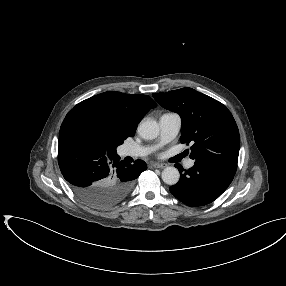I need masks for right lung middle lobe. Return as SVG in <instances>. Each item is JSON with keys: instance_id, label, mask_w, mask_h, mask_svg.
<instances>
[{"instance_id": "1", "label": "right lung middle lobe", "mask_w": 286, "mask_h": 286, "mask_svg": "<svg viewBox=\"0 0 286 286\" xmlns=\"http://www.w3.org/2000/svg\"><path fill=\"white\" fill-rule=\"evenodd\" d=\"M64 121L99 143L110 154H116V147L120 143H114L110 140L108 129L97 118L87 113H75L69 117L66 116Z\"/></svg>"}]
</instances>
